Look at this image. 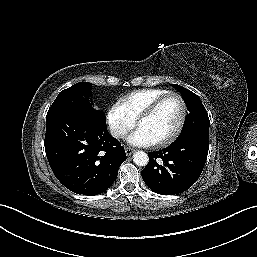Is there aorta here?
<instances>
[{"label": "aorta", "mask_w": 257, "mask_h": 257, "mask_svg": "<svg viewBox=\"0 0 257 257\" xmlns=\"http://www.w3.org/2000/svg\"><path fill=\"white\" fill-rule=\"evenodd\" d=\"M133 161L138 166H146L149 161L147 153L143 151H137L133 155Z\"/></svg>", "instance_id": "obj_1"}]
</instances>
